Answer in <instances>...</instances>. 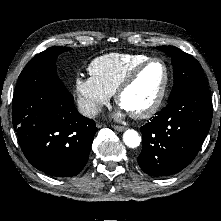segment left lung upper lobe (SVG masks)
Instances as JSON below:
<instances>
[{"label": "left lung upper lobe", "instance_id": "5c2ea615", "mask_svg": "<svg viewBox=\"0 0 221 221\" xmlns=\"http://www.w3.org/2000/svg\"><path fill=\"white\" fill-rule=\"evenodd\" d=\"M157 49L171 57L174 69V85L168 102L188 89L207 86L203 69L193 56L174 46H159Z\"/></svg>", "mask_w": 221, "mask_h": 221}]
</instances>
